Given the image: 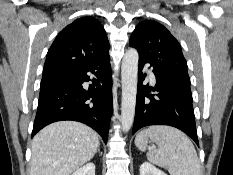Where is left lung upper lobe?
Listing matches in <instances>:
<instances>
[{
  "instance_id": "5c2ea615",
  "label": "left lung upper lobe",
  "mask_w": 233,
  "mask_h": 175,
  "mask_svg": "<svg viewBox=\"0 0 233 175\" xmlns=\"http://www.w3.org/2000/svg\"><path fill=\"white\" fill-rule=\"evenodd\" d=\"M129 45L136 48L139 57L154 69L190 80L181 46L163 25L151 20L140 22L130 37Z\"/></svg>"
}]
</instances>
